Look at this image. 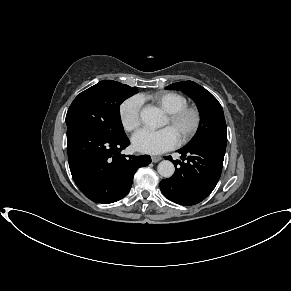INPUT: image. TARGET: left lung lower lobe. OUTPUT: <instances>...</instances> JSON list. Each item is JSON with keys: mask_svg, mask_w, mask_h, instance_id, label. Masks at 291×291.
<instances>
[{"mask_svg": "<svg viewBox=\"0 0 291 291\" xmlns=\"http://www.w3.org/2000/svg\"><path fill=\"white\" fill-rule=\"evenodd\" d=\"M225 150L226 144L221 142H202L178 150L187 161L172 160L175 173L160 182L164 196L180 205H195L204 200L220 178Z\"/></svg>", "mask_w": 291, "mask_h": 291, "instance_id": "0a47b994", "label": "left lung lower lobe"}]
</instances>
